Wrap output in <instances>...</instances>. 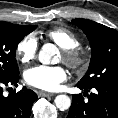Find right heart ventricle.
Returning <instances> with one entry per match:
<instances>
[{"instance_id":"right-heart-ventricle-1","label":"right heart ventricle","mask_w":118,"mask_h":118,"mask_svg":"<svg viewBox=\"0 0 118 118\" xmlns=\"http://www.w3.org/2000/svg\"><path fill=\"white\" fill-rule=\"evenodd\" d=\"M45 36L62 49H72L79 45L78 36L65 27H55L48 30Z\"/></svg>"}]
</instances>
